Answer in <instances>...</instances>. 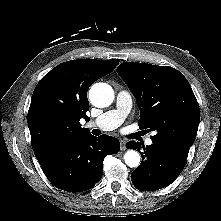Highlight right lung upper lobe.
<instances>
[{
  "instance_id": "cb5924a9",
  "label": "right lung upper lobe",
  "mask_w": 221,
  "mask_h": 221,
  "mask_svg": "<svg viewBox=\"0 0 221 221\" xmlns=\"http://www.w3.org/2000/svg\"><path fill=\"white\" fill-rule=\"evenodd\" d=\"M119 60L81 59L61 63L37 84L27 122L34 154L39 163L87 135L80 119L89 120L87 90L112 72Z\"/></svg>"
}]
</instances>
